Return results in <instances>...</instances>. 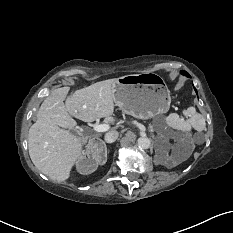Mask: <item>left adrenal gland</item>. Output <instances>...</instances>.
I'll list each match as a JSON object with an SVG mask.
<instances>
[{"label":"left adrenal gland","mask_w":233,"mask_h":233,"mask_svg":"<svg viewBox=\"0 0 233 233\" xmlns=\"http://www.w3.org/2000/svg\"><path fill=\"white\" fill-rule=\"evenodd\" d=\"M150 131H151V133H153V129L152 128L150 129Z\"/></svg>","instance_id":"1"}]
</instances>
